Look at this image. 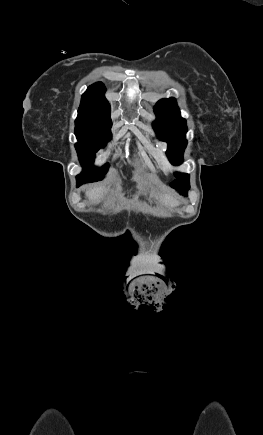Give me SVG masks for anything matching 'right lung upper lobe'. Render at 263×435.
<instances>
[{"label": "right lung upper lobe", "mask_w": 263, "mask_h": 435, "mask_svg": "<svg viewBox=\"0 0 263 435\" xmlns=\"http://www.w3.org/2000/svg\"><path fill=\"white\" fill-rule=\"evenodd\" d=\"M106 88L98 82L91 85L82 95L75 123L93 124L111 128L110 105L104 93Z\"/></svg>", "instance_id": "cb5924a9"}]
</instances>
